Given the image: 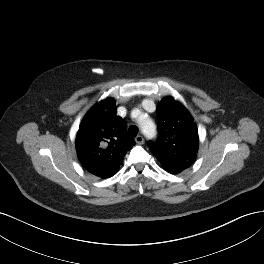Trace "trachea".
<instances>
[{
  "instance_id": "1",
  "label": "trachea",
  "mask_w": 264,
  "mask_h": 264,
  "mask_svg": "<svg viewBox=\"0 0 264 264\" xmlns=\"http://www.w3.org/2000/svg\"><path fill=\"white\" fill-rule=\"evenodd\" d=\"M128 133L130 136L135 137L138 134V128L134 125H131L128 129Z\"/></svg>"
}]
</instances>
